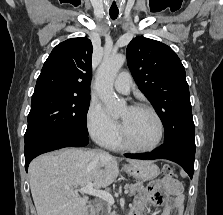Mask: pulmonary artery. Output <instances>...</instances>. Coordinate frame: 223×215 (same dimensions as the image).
<instances>
[{"instance_id": "1", "label": "pulmonary artery", "mask_w": 223, "mask_h": 215, "mask_svg": "<svg viewBox=\"0 0 223 215\" xmlns=\"http://www.w3.org/2000/svg\"><path fill=\"white\" fill-rule=\"evenodd\" d=\"M114 88L121 93H128L132 86V79L129 74L121 73L114 80Z\"/></svg>"}]
</instances>
